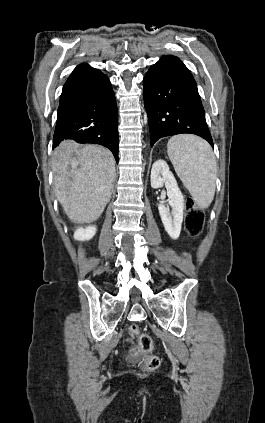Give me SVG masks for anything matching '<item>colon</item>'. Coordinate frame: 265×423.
<instances>
[{
  "label": "colon",
  "instance_id": "obj_1",
  "mask_svg": "<svg viewBox=\"0 0 265 423\" xmlns=\"http://www.w3.org/2000/svg\"><path fill=\"white\" fill-rule=\"evenodd\" d=\"M187 212L185 219L186 231L192 236H198L201 234L204 226V214L195 205L192 199H187ZM129 331L137 337L138 342V355L145 354L152 350L153 340L148 333L141 332L136 324H132L129 327ZM160 364L159 357L155 355L146 356L143 359V365L146 370H155Z\"/></svg>",
  "mask_w": 265,
  "mask_h": 423
}]
</instances>
